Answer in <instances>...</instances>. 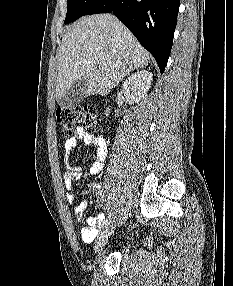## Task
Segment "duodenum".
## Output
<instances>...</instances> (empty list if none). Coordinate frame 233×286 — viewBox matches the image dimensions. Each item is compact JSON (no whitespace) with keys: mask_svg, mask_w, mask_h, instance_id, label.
Here are the masks:
<instances>
[{"mask_svg":"<svg viewBox=\"0 0 233 286\" xmlns=\"http://www.w3.org/2000/svg\"><path fill=\"white\" fill-rule=\"evenodd\" d=\"M108 112V108L107 107H105V109H104V113L106 114Z\"/></svg>","mask_w":233,"mask_h":286,"instance_id":"obj_1","label":"duodenum"}]
</instances>
